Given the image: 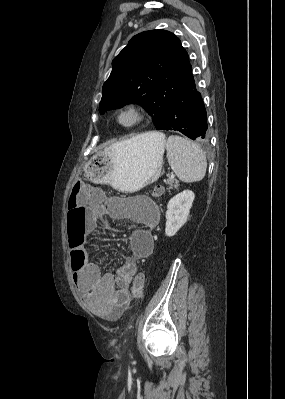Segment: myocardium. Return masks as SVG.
<instances>
[{
	"label": "myocardium",
	"instance_id": "1",
	"mask_svg": "<svg viewBox=\"0 0 285 399\" xmlns=\"http://www.w3.org/2000/svg\"><path fill=\"white\" fill-rule=\"evenodd\" d=\"M126 115H131L133 120L130 123H124L123 117ZM147 117V110L144 106L140 104L131 103L122 107L116 116L117 123L126 129L133 128L140 123H142Z\"/></svg>",
	"mask_w": 285,
	"mask_h": 399
}]
</instances>
